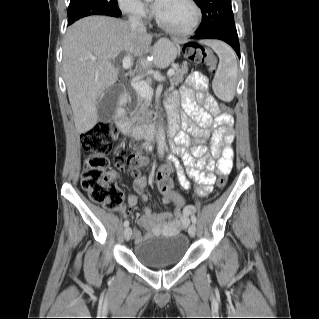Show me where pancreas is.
<instances>
[{"label":"pancreas","instance_id":"obj_1","mask_svg":"<svg viewBox=\"0 0 319 319\" xmlns=\"http://www.w3.org/2000/svg\"><path fill=\"white\" fill-rule=\"evenodd\" d=\"M174 74L170 79L171 86H177L183 82L184 76L188 73V64L184 62L182 65H174ZM151 106V99L144 98L140 95H137V107L132 116L133 123H144L147 119L150 118L152 112L149 111Z\"/></svg>","mask_w":319,"mask_h":319}]
</instances>
